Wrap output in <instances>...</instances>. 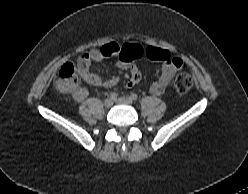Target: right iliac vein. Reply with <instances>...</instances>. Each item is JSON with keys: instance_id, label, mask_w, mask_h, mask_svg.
<instances>
[{"instance_id": "1", "label": "right iliac vein", "mask_w": 248, "mask_h": 194, "mask_svg": "<svg viewBox=\"0 0 248 194\" xmlns=\"http://www.w3.org/2000/svg\"><path fill=\"white\" fill-rule=\"evenodd\" d=\"M112 105H113V100H112L111 98H107V99L104 101V106H105L106 108H110V107H112Z\"/></svg>"}]
</instances>
